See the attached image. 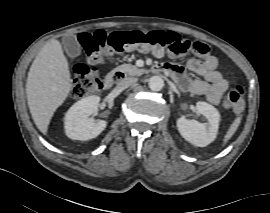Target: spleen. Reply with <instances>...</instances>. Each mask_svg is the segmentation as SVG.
<instances>
[{"label":"spleen","mask_w":270,"mask_h":213,"mask_svg":"<svg viewBox=\"0 0 270 213\" xmlns=\"http://www.w3.org/2000/svg\"><path fill=\"white\" fill-rule=\"evenodd\" d=\"M241 122V117H237L233 123L231 124V126L229 127L225 137H224V143H226L236 132V130L238 129L239 125Z\"/></svg>","instance_id":"3e777b00"}]
</instances>
